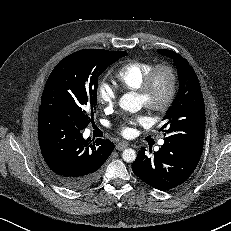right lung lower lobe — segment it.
Segmentation results:
<instances>
[{
	"instance_id": "obj_1",
	"label": "right lung lower lobe",
	"mask_w": 231,
	"mask_h": 231,
	"mask_svg": "<svg viewBox=\"0 0 231 231\" xmlns=\"http://www.w3.org/2000/svg\"><path fill=\"white\" fill-rule=\"evenodd\" d=\"M38 139L53 177L70 189H81L96 181L114 149L110 140H85L69 115L47 104L39 107Z\"/></svg>"
}]
</instances>
